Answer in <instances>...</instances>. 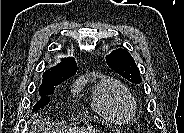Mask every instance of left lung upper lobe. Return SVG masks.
Wrapping results in <instances>:
<instances>
[{
	"label": "left lung upper lobe",
	"instance_id": "left-lung-upper-lobe-1",
	"mask_svg": "<svg viewBox=\"0 0 184 133\" xmlns=\"http://www.w3.org/2000/svg\"><path fill=\"white\" fill-rule=\"evenodd\" d=\"M107 65L128 81L139 84L140 72L133 57L125 49L119 48L106 56Z\"/></svg>",
	"mask_w": 184,
	"mask_h": 133
}]
</instances>
